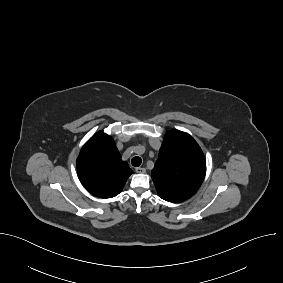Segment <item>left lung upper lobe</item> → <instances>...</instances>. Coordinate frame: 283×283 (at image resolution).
<instances>
[{
    "label": "left lung upper lobe",
    "mask_w": 283,
    "mask_h": 283,
    "mask_svg": "<svg viewBox=\"0 0 283 283\" xmlns=\"http://www.w3.org/2000/svg\"><path fill=\"white\" fill-rule=\"evenodd\" d=\"M159 196L169 202H182L193 196L206 174V160L197 142L187 133L168 132L152 169Z\"/></svg>",
    "instance_id": "5c2ea615"
}]
</instances>
